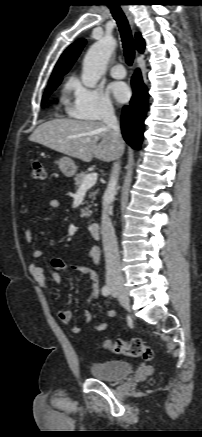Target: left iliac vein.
Here are the masks:
<instances>
[{"instance_id": "left-iliac-vein-1", "label": "left iliac vein", "mask_w": 202, "mask_h": 437, "mask_svg": "<svg viewBox=\"0 0 202 437\" xmlns=\"http://www.w3.org/2000/svg\"><path fill=\"white\" fill-rule=\"evenodd\" d=\"M112 295H113L114 297H116V295H115V293H114V292H112Z\"/></svg>"}]
</instances>
